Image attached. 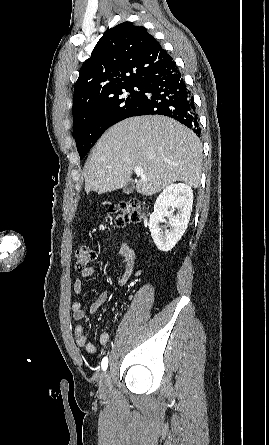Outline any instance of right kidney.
Returning a JSON list of instances; mask_svg holds the SVG:
<instances>
[{"label": "right kidney", "mask_w": 269, "mask_h": 445, "mask_svg": "<svg viewBox=\"0 0 269 445\" xmlns=\"http://www.w3.org/2000/svg\"><path fill=\"white\" fill-rule=\"evenodd\" d=\"M193 191L184 183L170 184L156 199L154 212L150 216L149 229L152 239L161 251H170L185 233L192 211ZM177 209L176 215L173 211ZM169 218L170 229L163 232L160 223L164 217Z\"/></svg>", "instance_id": "1"}]
</instances>
